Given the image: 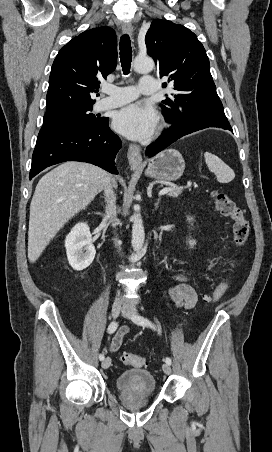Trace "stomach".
<instances>
[{"label":"stomach","mask_w":272,"mask_h":452,"mask_svg":"<svg viewBox=\"0 0 272 452\" xmlns=\"http://www.w3.org/2000/svg\"><path fill=\"white\" fill-rule=\"evenodd\" d=\"M184 168L181 153L175 149H166L150 159L145 174L157 180L174 181L182 176Z\"/></svg>","instance_id":"obj_1"}]
</instances>
